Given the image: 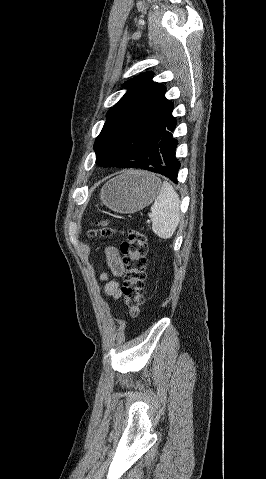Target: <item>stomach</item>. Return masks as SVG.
<instances>
[{
  "label": "stomach",
  "mask_w": 266,
  "mask_h": 479,
  "mask_svg": "<svg viewBox=\"0 0 266 479\" xmlns=\"http://www.w3.org/2000/svg\"><path fill=\"white\" fill-rule=\"evenodd\" d=\"M161 188L154 174L127 171L108 181L100 192L104 205L119 213H134L149 205Z\"/></svg>",
  "instance_id": "1"
}]
</instances>
